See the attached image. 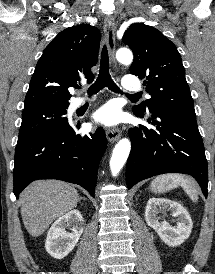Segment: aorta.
<instances>
[{"instance_id": "aorta-1", "label": "aorta", "mask_w": 215, "mask_h": 274, "mask_svg": "<svg viewBox=\"0 0 215 274\" xmlns=\"http://www.w3.org/2000/svg\"><path fill=\"white\" fill-rule=\"evenodd\" d=\"M117 60L128 65L133 60L132 52L127 48H121L116 53ZM131 149V143L128 139H121L115 146L110 160V169L113 176H116L124 166Z\"/></svg>"}]
</instances>
